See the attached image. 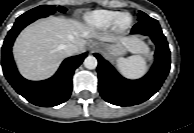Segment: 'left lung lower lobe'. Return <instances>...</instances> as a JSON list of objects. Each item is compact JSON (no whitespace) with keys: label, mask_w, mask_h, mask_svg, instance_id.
Masks as SVG:
<instances>
[{"label":"left lung lower lobe","mask_w":194,"mask_h":133,"mask_svg":"<svg viewBox=\"0 0 194 133\" xmlns=\"http://www.w3.org/2000/svg\"><path fill=\"white\" fill-rule=\"evenodd\" d=\"M131 34L149 36L156 45L155 62L150 72L138 80H128L95 53L98 59V88L107 102L118 106L140 104L152 97L161 87L170 70V50L157 20L148 17L138 21Z\"/></svg>","instance_id":"obj_1"}]
</instances>
